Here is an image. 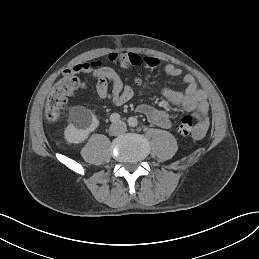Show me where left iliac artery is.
<instances>
[{
	"label": "left iliac artery",
	"instance_id": "left-iliac-artery-1",
	"mask_svg": "<svg viewBox=\"0 0 259 259\" xmlns=\"http://www.w3.org/2000/svg\"><path fill=\"white\" fill-rule=\"evenodd\" d=\"M128 124L131 127H136L138 125V120L135 117H130L128 119Z\"/></svg>",
	"mask_w": 259,
	"mask_h": 259
}]
</instances>
